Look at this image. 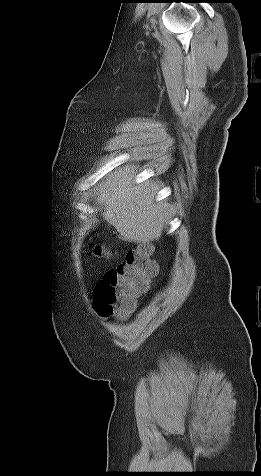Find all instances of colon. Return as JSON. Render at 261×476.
Listing matches in <instances>:
<instances>
[{"label": "colon", "mask_w": 261, "mask_h": 476, "mask_svg": "<svg viewBox=\"0 0 261 476\" xmlns=\"http://www.w3.org/2000/svg\"><path fill=\"white\" fill-rule=\"evenodd\" d=\"M97 253L106 254L100 247ZM151 255V245L141 244L126 253L122 264L105 274L94 291V306L101 316L125 318L134 310L137 296L147 290L157 274Z\"/></svg>", "instance_id": "colon-1"}]
</instances>
